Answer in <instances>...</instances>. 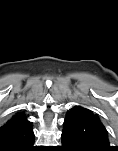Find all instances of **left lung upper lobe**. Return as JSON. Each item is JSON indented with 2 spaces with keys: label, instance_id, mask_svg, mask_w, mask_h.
<instances>
[{
  "label": "left lung upper lobe",
  "instance_id": "left-lung-upper-lobe-1",
  "mask_svg": "<svg viewBox=\"0 0 118 151\" xmlns=\"http://www.w3.org/2000/svg\"><path fill=\"white\" fill-rule=\"evenodd\" d=\"M63 131L75 135L89 151H110L107 130L97 115L81 106L72 107L64 120Z\"/></svg>",
  "mask_w": 118,
  "mask_h": 151
}]
</instances>
